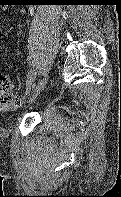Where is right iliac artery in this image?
<instances>
[{"instance_id": "82829eb1", "label": "right iliac artery", "mask_w": 121, "mask_h": 197, "mask_svg": "<svg viewBox=\"0 0 121 197\" xmlns=\"http://www.w3.org/2000/svg\"><path fill=\"white\" fill-rule=\"evenodd\" d=\"M37 71H31L27 76V93L35 86V79H36Z\"/></svg>"}]
</instances>
